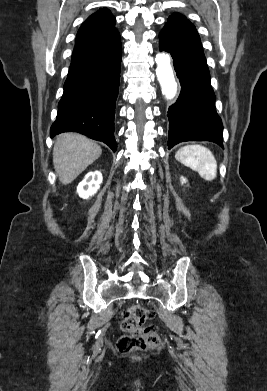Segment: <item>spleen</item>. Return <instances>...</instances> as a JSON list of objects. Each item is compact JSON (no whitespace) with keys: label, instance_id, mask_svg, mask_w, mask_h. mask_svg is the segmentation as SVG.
I'll return each mask as SVG.
<instances>
[{"label":"spleen","instance_id":"1","mask_svg":"<svg viewBox=\"0 0 267 391\" xmlns=\"http://www.w3.org/2000/svg\"><path fill=\"white\" fill-rule=\"evenodd\" d=\"M175 156L183 165L198 172L204 180L212 181L216 178L217 162L208 148L201 145H188L180 148Z\"/></svg>","mask_w":267,"mask_h":391}]
</instances>
